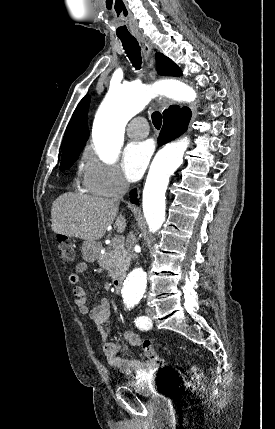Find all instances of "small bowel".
<instances>
[{
    "label": "small bowel",
    "mask_w": 275,
    "mask_h": 429,
    "mask_svg": "<svg viewBox=\"0 0 275 429\" xmlns=\"http://www.w3.org/2000/svg\"><path fill=\"white\" fill-rule=\"evenodd\" d=\"M87 269L88 265L85 262H81L76 266L77 273H83L87 271ZM77 273L71 274L68 277L69 282L74 285V303L78 307L80 313L89 314L90 319L97 326L104 341L103 351L109 365L126 375H142L146 372L156 370V364L150 360L143 362L137 359H126L121 357V353L124 351L122 344L119 342L109 341L108 333L105 329V324L111 316L108 301L106 299H101L100 303L96 307L90 309L87 305L85 291L78 284L79 277ZM123 336L130 346L144 347L148 341L141 339L137 334L130 331H124Z\"/></svg>",
    "instance_id": "obj_1"
}]
</instances>
